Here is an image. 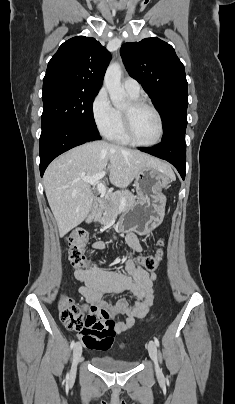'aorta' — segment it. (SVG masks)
Returning <instances> with one entry per match:
<instances>
[{"mask_svg": "<svg viewBox=\"0 0 235 404\" xmlns=\"http://www.w3.org/2000/svg\"><path fill=\"white\" fill-rule=\"evenodd\" d=\"M122 70L119 63H111L105 73L104 85L109 93L113 105L120 108L125 105V91L121 86Z\"/></svg>", "mask_w": 235, "mask_h": 404, "instance_id": "aorta-1", "label": "aorta"}]
</instances>
